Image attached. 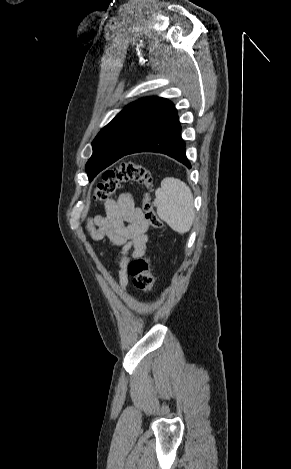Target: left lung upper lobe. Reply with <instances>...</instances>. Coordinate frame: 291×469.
Listing matches in <instances>:
<instances>
[{"label":"left lung upper lobe","instance_id":"1","mask_svg":"<svg viewBox=\"0 0 291 469\" xmlns=\"http://www.w3.org/2000/svg\"><path fill=\"white\" fill-rule=\"evenodd\" d=\"M175 111L174 104L162 97L143 98L124 108L92 142L93 154L86 164L89 181Z\"/></svg>","mask_w":291,"mask_h":469}]
</instances>
